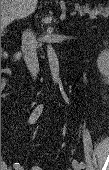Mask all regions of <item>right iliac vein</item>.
I'll use <instances>...</instances> for the list:
<instances>
[{"mask_svg": "<svg viewBox=\"0 0 109 170\" xmlns=\"http://www.w3.org/2000/svg\"><path fill=\"white\" fill-rule=\"evenodd\" d=\"M18 170H24V168L23 167H19Z\"/></svg>", "mask_w": 109, "mask_h": 170, "instance_id": "63e3f726", "label": "right iliac vein"}]
</instances>
